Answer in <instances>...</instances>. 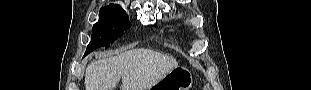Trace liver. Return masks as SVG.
I'll list each match as a JSON object with an SVG mask.
<instances>
[{
    "mask_svg": "<svg viewBox=\"0 0 311 90\" xmlns=\"http://www.w3.org/2000/svg\"><path fill=\"white\" fill-rule=\"evenodd\" d=\"M178 66L171 56L150 49H132L91 62L85 73V90H148Z\"/></svg>",
    "mask_w": 311,
    "mask_h": 90,
    "instance_id": "6515ba94",
    "label": "liver"
}]
</instances>
